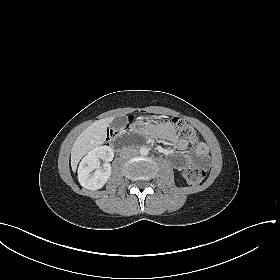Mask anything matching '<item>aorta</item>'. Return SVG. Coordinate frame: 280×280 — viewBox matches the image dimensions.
Listing matches in <instances>:
<instances>
[{"instance_id":"aorta-1","label":"aorta","mask_w":280,"mask_h":280,"mask_svg":"<svg viewBox=\"0 0 280 280\" xmlns=\"http://www.w3.org/2000/svg\"><path fill=\"white\" fill-rule=\"evenodd\" d=\"M140 154H141L142 156L148 155V154H149V149H148L147 147H141V148H140Z\"/></svg>"}]
</instances>
